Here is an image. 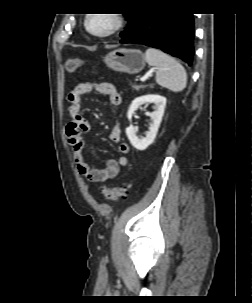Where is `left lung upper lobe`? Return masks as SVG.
Masks as SVG:
<instances>
[{
	"mask_svg": "<svg viewBox=\"0 0 252 303\" xmlns=\"http://www.w3.org/2000/svg\"><path fill=\"white\" fill-rule=\"evenodd\" d=\"M142 13L143 12L139 11L137 13H133V14H129V15L125 16L127 19V22H128V24H127L128 26L125 29V31L121 32V34H120L122 39L127 37L133 31V29L138 24V22L142 16Z\"/></svg>",
	"mask_w": 252,
	"mask_h": 303,
	"instance_id": "5c2ea615",
	"label": "left lung upper lobe"
}]
</instances>
